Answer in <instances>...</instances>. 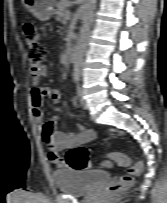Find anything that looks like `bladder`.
Returning a JSON list of instances; mask_svg holds the SVG:
<instances>
[{
  "instance_id": "obj_1",
  "label": "bladder",
  "mask_w": 167,
  "mask_h": 203,
  "mask_svg": "<svg viewBox=\"0 0 167 203\" xmlns=\"http://www.w3.org/2000/svg\"><path fill=\"white\" fill-rule=\"evenodd\" d=\"M110 173L99 170H75L59 168L53 171L52 179L57 190L69 195H81L109 181Z\"/></svg>"
}]
</instances>
